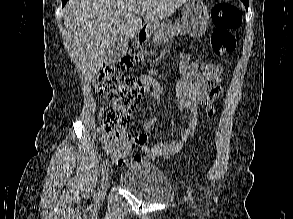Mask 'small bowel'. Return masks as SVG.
Instances as JSON below:
<instances>
[{"mask_svg":"<svg viewBox=\"0 0 293 219\" xmlns=\"http://www.w3.org/2000/svg\"><path fill=\"white\" fill-rule=\"evenodd\" d=\"M182 78L177 84V108L182 112H188L191 116L190 125L180 133V140H165L153 146L147 144V134L141 133L133 136L127 128L115 134H109L101 125L97 134L102 146L112 161L120 167L140 166L150 164L157 157H167L183 150L184 146L194 136L199 124V109L206 115L214 112V102L221 93L219 82L221 77H217L213 72L205 70L199 62L193 61L189 54H185L180 62ZM196 78L195 82L192 78ZM144 89L150 96L159 100L162 93L161 86L149 76L142 79ZM157 123L156 118L144 122L145 131L152 130ZM132 145L137 146L143 155H135L128 159Z\"/></svg>","mask_w":293,"mask_h":219,"instance_id":"1","label":"small bowel"}]
</instances>
